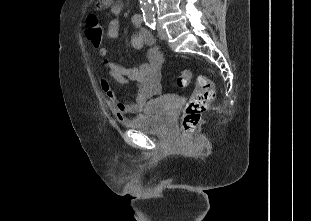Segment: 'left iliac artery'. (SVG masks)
Returning <instances> with one entry per match:
<instances>
[{
  "mask_svg": "<svg viewBox=\"0 0 311 221\" xmlns=\"http://www.w3.org/2000/svg\"><path fill=\"white\" fill-rule=\"evenodd\" d=\"M147 25L151 28V29H155L156 28V22L155 19L149 20L147 21Z\"/></svg>",
  "mask_w": 311,
  "mask_h": 221,
  "instance_id": "1",
  "label": "left iliac artery"
}]
</instances>
